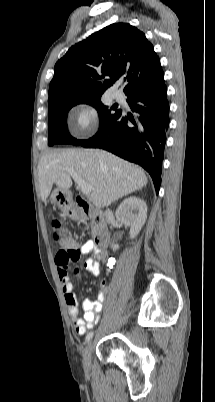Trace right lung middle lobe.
I'll list each match as a JSON object with an SVG mask.
<instances>
[{
    "label": "right lung middle lobe",
    "mask_w": 215,
    "mask_h": 402,
    "mask_svg": "<svg viewBox=\"0 0 215 402\" xmlns=\"http://www.w3.org/2000/svg\"><path fill=\"white\" fill-rule=\"evenodd\" d=\"M86 103L93 106L99 114V130L108 125L120 111L111 112L107 106L101 102V95L87 97V98H74V97H61L48 103V144L67 143L79 145L82 141L73 138L67 130V113L75 105Z\"/></svg>",
    "instance_id": "obj_1"
}]
</instances>
